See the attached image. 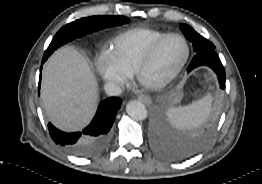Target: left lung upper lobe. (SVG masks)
<instances>
[{
	"label": "left lung upper lobe",
	"mask_w": 262,
	"mask_h": 184,
	"mask_svg": "<svg viewBox=\"0 0 262 184\" xmlns=\"http://www.w3.org/2000/svg\"><path fill=\"white\" fill-rule=\"evenodd\" d=\"M180 29L183 31L185 37L192 43L194 51L201 52L208 49H214L212 42L205 39L198 34L192 27L186 24H180Z\"/></svg>",
	"instance_id": "1"
}]
</instances>
